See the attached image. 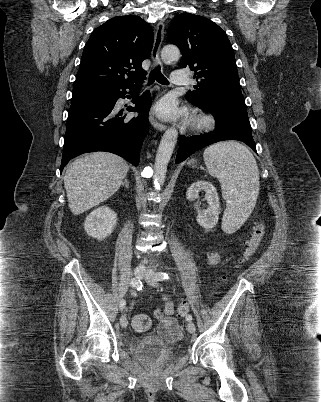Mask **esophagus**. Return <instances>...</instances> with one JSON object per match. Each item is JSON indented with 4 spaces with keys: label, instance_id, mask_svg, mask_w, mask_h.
I'll return each instance as SVG.
<instances>
[{
    "label": "esophagus",
    "instance_id": "obj_1",
    "mask_svg": "<svg viewBox=\"0 0 321 402\" xmlns=\"http://www.w3.org/2000/svg\"><path fill=\"white\" fill-rule=\"evenodd\" d=\"M164 37V23L159 22L156 26L155 36H154V44L151 52V57L154 62V65L161 64L160 61V48ZM150 122L153 127L159 131H164L166 129V125L159 122L153 114L150 116Z\"/></svg>",
    "mask_w": 321,
    "mask_h": 402
}]
</instances>
